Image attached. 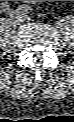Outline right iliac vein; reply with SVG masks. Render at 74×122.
Masks as SVG:
<instances>
[{
	"label": "right iliac vein",
	"mask_w": 74,
	"mask_h": 122,
	"mask_svg": "<svg viewBox=\"0 0 74 122\" xmlns=\"http://www.w3.org/2000/svg\"><path fill=\"white\" fill-rule=\"evenodd\" d=\"M11 19L14 24H21L23 22V17L18 12H12Z\"/></svg>",
	"instance_id": "1"
}]
</instances>
